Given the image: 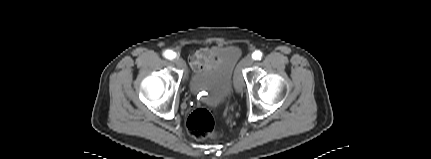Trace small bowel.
<instances>
[{"label": "small bowel", "instance_id": "obj_1", "mask_svg": "<svg viewBox=\"0 0 431 159\" xmlns=\"http://www.w3.org/2000/svg\"><path fill=\"white\" fill-rule=\"evenodd\" d=\"M218 61V48H202L190 55L189 62L196 71L205 70Z\"/></svg>", "mask_w": 431, "mask_h": 159}]
</instances>
